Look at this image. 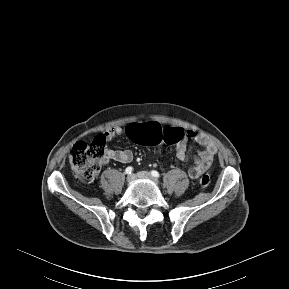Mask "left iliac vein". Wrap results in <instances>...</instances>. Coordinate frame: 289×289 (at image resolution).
Here are the masks:
<instances>
[{
  "mask_svg": "<svg viewBox=\"0 0 289 289\" xmlns=\"http://www.w3.org/2000/svg\"><path fill=\"white\" fill-rule=\"evenodd\" d=\"M137 177L140 179H148V180H151L152 182H154L155 184H158V180L147 171L138 172Z\"/></svg>",
  "mask_w": 289,
  "mask_h": 289,
  "instance_id": "left-iliac-vein-1",
  "label": "left iliac vein"
}]
</instances>
